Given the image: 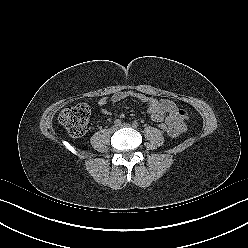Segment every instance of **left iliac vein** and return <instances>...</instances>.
Here are the masks:
<instances>
[{
	"instance_id": "left-iliac-vein-1",
	"label": "left iliac vein",
	"mask_w": 248,
	"mask_h": 248,
	"mask_svg": "<svg viewBox=\"0 0 248 248\" xmlns=\"http://www.w3.org/2000/svg\"><path fill=\"white\" fill-rule=\"evenodd\" d=\"M130 126H131V125L128 124V123H123V124L120 125V127H130Z\"/></svg>"
}]
</instances>
